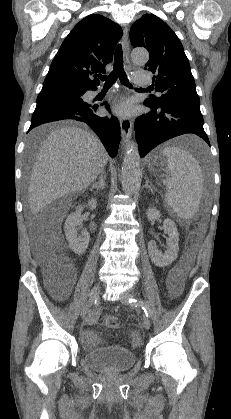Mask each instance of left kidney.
I'll return each mask as SVG.
<instances>
[{"label": "left kidney", "mask_w": 231, "mask_h": 419, "mask_svg": "<svg viewBox=\"0 0 231 419\" xmlns=\"http://www.w3.org/2000/svg\"><path fill=\"white\" fill-rule=\"evenodd\" d=\"M146 215L149 221L156 220L161 216L160 212L155 208H149ZM163 228L168 234V249L164 253H161L158 251L155 241L151 240L148 243L149 256L158 267L170 265L177 258L179 251V233L175 222L171 219H165Z\"/></svg>", "instance_id": "5707ae66"}]
</instances>
